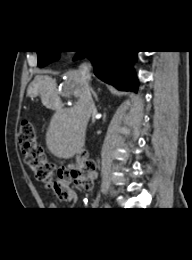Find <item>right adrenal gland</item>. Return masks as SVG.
<instances>
[{
	"instance_id": "obj_1",
	"label": "right adrenal gland",
	"mask_w": 192,
	"mask_h": 260,
	"mask_svg": "<svg viewBox=\"0 0 192 260\" xmlns=\"http://www.w3.org/2000/svg\"><path fill=\"white\" fill-rule=\"evenodd\" d=\"M91 92L95 98L96 101H98V96H97V93L91 88Z\"/></svg>"
}]
</instances>
